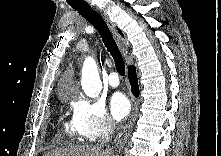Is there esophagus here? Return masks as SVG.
<instances>
[{
  "instance_id": "34e87169",
  "label": "esophagus",
  "mask_w": 221,
  "mask_h": 156,
  "mask_svg": "<svg viewBox=\"0 0 221 156\" xmlns=\"http://www.w3.org/2000/svg\"><path fill=\"white\" fill-rule=\"evenodd\" d=\"M91 7L95 8L96 10H99L97 7H95L90 0H86ZM102 17L104 18L105 22L107 23L108 27L110 28V30L115 34V36L119 39V35L117 34V31H116V28H115V25L113 24V22L108 18V16L104 13H102L100 11ZM123 51H125V49L123 48ZM130 126V125H129ZM127 128V127H126ZM125 128V129H126ZM125 129H124V132H125Z\"/></svg>"
}]
</instances>
